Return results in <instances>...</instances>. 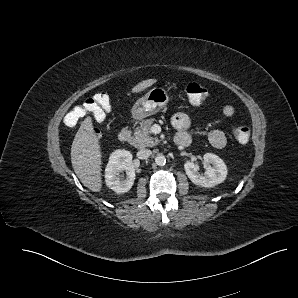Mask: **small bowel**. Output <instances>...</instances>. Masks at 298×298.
<instances>
[{
    "instance_id": "small-bowel-1",
    "label": "small bowel",
    "mask_w": 298,
    "mask_h": 298,
    "mask_svg": "<svg viewBox=\"0 0 298 298\" xmlns=\"http://www.w3.org/2000/svg\"><path fill=\"white\" fill-rule=\"evenodd\" d=\"M234 113L235 109L231 105H225L221 110V114L224 118H231ZM171 124L179 132H184L190 127V119L185 113L177 112L172 116ZM208 140L210 144L217 149L224 148L227 144L225 134L218 129H213L208 133Z\"/></svg>"
}]
</instances>
